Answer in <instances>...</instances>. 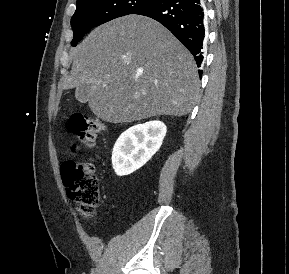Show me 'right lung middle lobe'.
Listing matches in <instances>:
<instances>
[{"mask_svg":"<svg viewBox=\"0 0 289 274\" xmlns=\"http://www.w3.org/2000/svg\"><path fill=\"white\" fill-rule=\"evenodd\" d=\"M157 0H77V9L71 19L75 46L88 30L115 18L136 13Z\"/></svg>","mask_w":289,"mask_h":274,"instance_id":"dd1d6c3e","label":"right lung middle lobe"}]
</instances>
